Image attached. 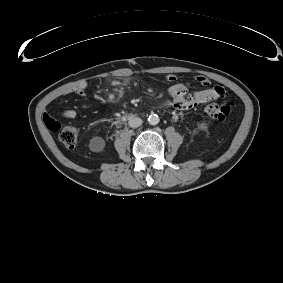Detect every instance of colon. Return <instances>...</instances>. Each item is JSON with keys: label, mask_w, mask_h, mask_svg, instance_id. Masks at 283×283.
I'll return each mask as SVG.
<instances>
[{"label": "colon", "mask_w": 283, "mask_h": 283, "mask_svg": "<svg viewBox=\"0 0 283 283\" xmlns=\"http://www.w3.org/2000/svg\"><path fill=\"white\" fill-rule=\"evenodd\" d=\"M229 112L230 106L228 104L218 105L213 103L208 104L203 109L204 116L214 121L225 120ZM59 139L66 147H74L78 141V129L72 126L63 127L60 130Z\"/></svg>", "instance_id": "5ec220e1"}]
</instances>
